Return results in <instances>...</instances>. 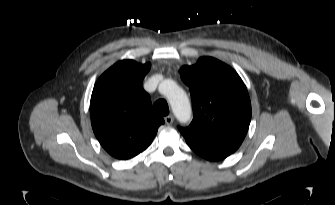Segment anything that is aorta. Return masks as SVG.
<instances>
[{
	"instance_id": "aorta-1",
	"label": "aorta",
	"mask_w": 335,
	"mask_h": 205,
	"mask_svg": "<svg viewBox=\"0 0 335 205\" xmlns=\"http://www.w3.org/2000/svg\"><path fill=\"white\" fill-rule=\"evenodd\" d=\"M160 92L168 98L176 118L182 123L188 122L192 109L186 92L172 80H164Z\"/></svg>"
}]
</instances>
